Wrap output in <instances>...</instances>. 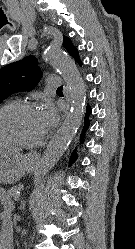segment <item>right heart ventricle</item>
I'll return each instance as SVG.
<instances>
[{
    "mask_svg": "<svg viewBox=\"0 0 135 249\" xmlns=\"http://www.w3.org/2000/svg\"><path fill=\"white\" fill-rule=\"evenodd\" d=\"M7 104H8V103H7ZM5 105H6V104H5ZM5 105H4V106H5ZM2 107H3V106H2ZM2 107H1V108H2ZM1 108H0V109H1ZM1 144H10V143L7 142V141L2 140V139L0 138V145H1Z\"/></svg>",
    "mask_w": 135,
    "mask_h": 249,
    "instance_id": "right-heart-ventricle-1",
    "label": "right heart ventricle"
}]
</instances>
